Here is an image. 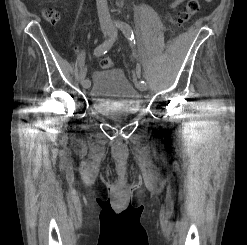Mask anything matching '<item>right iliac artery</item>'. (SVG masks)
I'll use <instances>...</instances> for the list:
<instances>
[{
	"label": "right iliac artery",
	"mask_w": 247,
	"mask_h": 245,
	"mask_svg": "<svg viewBox=\"0 0 247 245\" xmlns=\"http://www.w3.org/2000/svg\"><path fill=\"white\" fill-rule=\"evenodd\" d=\"M115 41V38L110 37L107 40H105L102 44H100L99 46H97L94 50V55L95 56H101L104 55L105 53H107V51L110 50V48L112 47L113 43ZM87 67L85 66L84 68H82V70L80 71V75H79V81L80 82H85L87 80Z\"/></svg>",
	"instance_id": "82829eb1"
}]
</instances>
